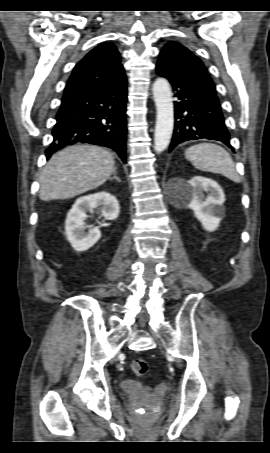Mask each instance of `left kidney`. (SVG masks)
I'll return each mask as SVG.
<instances>
[{"instance_id":"5707ae66","label":"left kidney","mask_w":270,"mask_h":453,"mask_svg":"<svg viewBox=\"0 0 270 453\" xmlns=\"http://www.w3.org/2000/svg\"><path fill=\"white\" fill-rule=\"evenodd\" d=\"M180 194L182 203L193 210L205 230L212 232L219 227L225 213V195L216 181L195 176L184 185Z\"/></svg>"}]
</instances>
